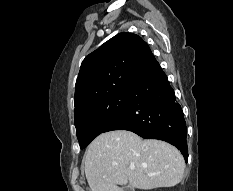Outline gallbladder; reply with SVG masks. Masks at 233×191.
<instances>
[{"label":"gallbladder","mask_w":233,"mask_h":191,"mask_svg":"<svg viewBox=\"0 0 233 191\" xmlns=\"http://www.w3.org/2000/svg\"><path fill=\"white\" fill-rule=\"evenodd\" d=\"M122 191H134V189L132 187H130V186H126V187L123 188Z\"/></svg>","instance_id":"1"}]
</instances>
